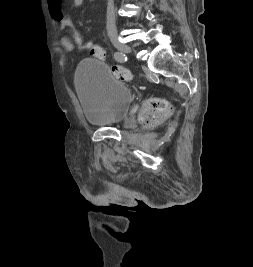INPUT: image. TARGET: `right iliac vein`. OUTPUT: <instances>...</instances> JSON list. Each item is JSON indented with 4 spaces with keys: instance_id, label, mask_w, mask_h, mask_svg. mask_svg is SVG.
Wrapping results in <instances>:
<instances>
[{
    "instance_id": "right-iliac-vein-1",
    "label": "right iliac vein",
    "mask_w": 253,
    "mask_h": 267,
    "mask_svg": "<svg viewBox=\"0 0 253 267\" xmlns=\"http://www.w3.org/2000/svg\"><path fill=\"white\" fill-rule=\"evenodd\" d=\"M111 41L114 47L119 51H121L122 53L125 54L131 53L132 49L127 44L120 42L117 38H112Z\"/></svg>"
}]
</instances>
